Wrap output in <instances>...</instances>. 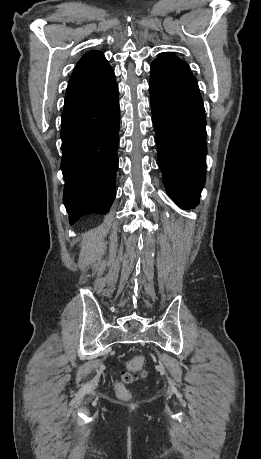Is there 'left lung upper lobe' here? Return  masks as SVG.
<instances>
[{"mask_svg":"<svg viewBox=\"0 0 261 459\" xmlns=\"http://www.w3.org/2000/svg\"><path fill=\"white\" fill-rule=\"evenodd\" d=\"M153 62L163 63L172 66H179L189 69V66L185 61L180 60L177 56L170 52L161 53Z\"/></svg>","mask_w":261,"mask_h":459,"instance_id":"left-lung-upper-lobe-1","label":"left lung upper lobe"}]
</instances>
